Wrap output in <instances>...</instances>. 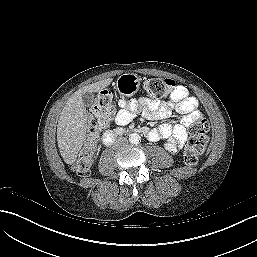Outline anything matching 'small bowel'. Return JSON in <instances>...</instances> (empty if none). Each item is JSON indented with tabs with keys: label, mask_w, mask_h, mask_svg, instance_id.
<instances>
[{
	"label": "small bowel",
	"mask_w": 257,
	"mask_h": 257,
	"mask_svg": "<svg viewBox=\"0 0 257 257\" xmlns=\"http://www.w3.org/2000/svg\"><path fill=\"white\" fill-rule=\"evenodd\" d=\"M119 107L115 117V122L118 125L128 124L137 114H142L148 119H163L169 116L172 109H175L182 114L180 123L175 125L162 124L149 133V138L151 140L165 138L178 147L183 146L187 139V128L201 118L197 100L190 96L186 87L182 85L173 89L170 102L159 103L140 97L133 100L121 99Z\"/></svg>",
	"instance_id": "1"
}]
</instances>
